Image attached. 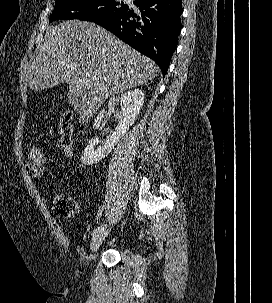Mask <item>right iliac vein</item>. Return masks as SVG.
Here are the masks:
<instances>
[{"mask_svg": "<svg viewBox=\"0 0 272 303\" xmlns=\"http://www.w3.org/2000/svg\"><path fill=\"white\" fill-rule=\"evenodd\" d=\"M111 230V227L109 226L108 228L100 231L96 235L92 237L91 243H90V259L94 258L95 252H97L99 246L102 244L103 240Z\"/></svg>", "mask_w": 272, "mask_h": 303, "instance_id": "obj_1", "label": "right iliac vein"}]
</instances>
